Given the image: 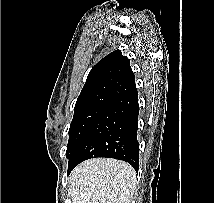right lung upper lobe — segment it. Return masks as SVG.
<instances>
[{"label": "right lung upper lobe", "instance_id": "right-lung-upper-lobe-1", "mask_svg": "<svg viewBox=\"0 0 214 203\" xmlns=\"http://www.w3.org/2000/svg\"><path fill=\"white\" fill-rule=\"evenodd\" d=\"M135 88V76L131 70L130 61L122 56L120 50H116L91 69L78 99L92 96L115 99Z\"/></svg>", "mask_w": 214, "mask_h": 203}]
</instances>
